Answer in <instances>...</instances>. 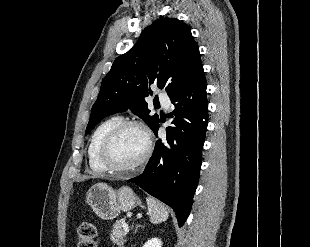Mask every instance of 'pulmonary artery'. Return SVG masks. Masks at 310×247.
I'll return each instance as SVG.
<instances>
[{"label": "pulmonary artery", "instance_id": "1", "mask_svg": "<svg viewBox=\"0 0 310 247\" xmlns=\"http://www.w3.org/2000/svg\"><path fill=\"white\" fill-rule=\"evenodd\" d=\"M159 101L165 109H168L171 105L170 98L166 94H160Z\"/></svg>", "mask_w": 310, "mask_h": 247}]
</instances>
